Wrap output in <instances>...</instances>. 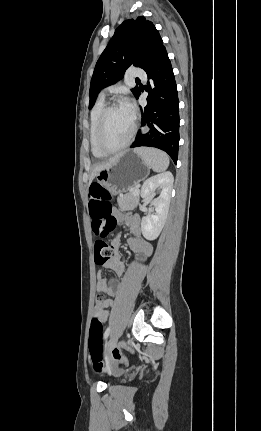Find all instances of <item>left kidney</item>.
<instances>
[{"label":"left kidney","mask_w":261,"mask_h":431,"mask_svg":"<svg viewBox=\"0 0 261 431\" xmlns=\"http://www.w3.org/2000/svg\"><path fill=\"white\" fill-rule=\"evenodd\" d=\"M173 175L170 172L160 173L147 179L141 188V197L152 201L155 213L144 216L141 221V230L147 240L156 239L167 218L171 191L173 188ZM157 188L161 189L159 197L153 199Z\"/></svg>","instance_id":"obj_1"}]
</instances>
